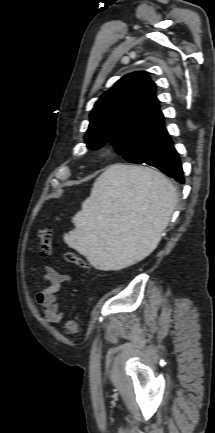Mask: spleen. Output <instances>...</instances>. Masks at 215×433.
Listing matches in <instances>:
<instances>
[{
	"label": "spleen",
	"instance_id": "3e777b00",
	"mask_svg": "<svg viewBox=\"0 0 215 433\" xmlns=\"http://www.w3.org/2000/svg\"><path fill=\"white\" fill-rule=\"evenodd\" d=\"M176 202V189L162 173L112 165L95 181L64 241L97 269L125 268L157 247Z\"/></svg>",
	"mask_w": 215,
	"mask_h": 433
}]
</instances>
